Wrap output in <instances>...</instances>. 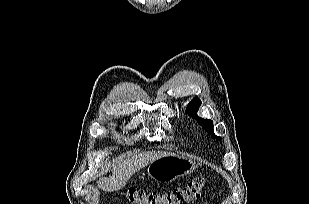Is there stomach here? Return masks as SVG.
<instances>
[{
	"mask_svg": "<svg viewBox=\"0 0 309 204\" xmlns=\"http://www.w3.org/2000/svg\"><path fill=\"white\" fill-rule=\"evenodd\" d=\"M195 168L193 160L171 154L151 162L147 174L153 180L168 182L192 173Z\"/></svg>",
	"mask_w": 309,
	"mask_h": 204,
	"instance_id": "obj_1",
	"label": "stomach"
}]
</instances>
